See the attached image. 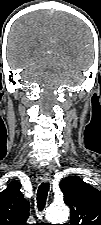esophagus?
<instances>
[{"instance_id": "1", "label": "esophagus", "mask_w": 101, "mask_h": 225, "mask_svg": "<svg viewBox=\"0 0 101 225\" xmlns=\"http://www.w3.org/2000/svg\"><path fill=\"white\" fill-rule=\"evenodd\" d=\"M41 180H42V182L48 183V182H50L51 178L48 174H45V175L41 176Z\"/></svg>"}]
</instances>
